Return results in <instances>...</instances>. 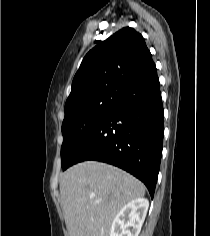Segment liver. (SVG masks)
Here are the masks:
<instances>
[{"label":"liver","mask_w":210,"mask_h":236,"mask_svg":"<svg viewBox=\"0 0 210 236\" xmlns=\"http://www.w3.org/2000/svg\"><path fill=\"white\" fill-rule=\"evenodd\" d=\"M60 194L69 236H110L115 216L145 186L117 167L85 161L62 174Z\"/></svg>","instance_id":"liver-1"}]
</instances>
